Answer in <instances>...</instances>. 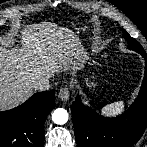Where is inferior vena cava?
<instances>
[{
	"instance_id": "1",
	"label": "inferior vena cava",
	"mask_w": 147,
	"mask_h": 147,
	"mask_svg": "<svg viewBox=\"0 0 147 147\" xmlns=\"http://www.w3.org/2000/svg\"><path fill=\"white\" fill-rule=\"evenodd\" d=\"M51 87L50 78L42 77L34 83V88L40 91L49 90Z\"/></svg>"
}]
</instances>
